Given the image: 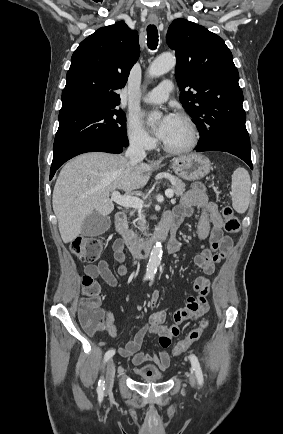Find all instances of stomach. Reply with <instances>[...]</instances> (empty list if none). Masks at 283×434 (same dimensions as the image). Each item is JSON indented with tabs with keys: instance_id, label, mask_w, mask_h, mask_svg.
Returning a JSON list of instances; mask_svg holds the SVG:
<instances>
[{
	"instance_id": "1",
	"label": "stomach",
	"mask_w": 283,
	"mask_h": 434,
	"mask_svg": "<svg viewBox=\"0 0 283 434\" xmlns=\"http://www.w3.org/2000/svg\"><path fill=\"white\" fill-rule=\"evenodd\" d=\"M172 168L182 179L195 181L205 177L212 166L210 160L204 155L192 153L175 158Z\"/></svg>"
}]
</instances>
